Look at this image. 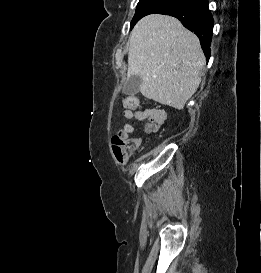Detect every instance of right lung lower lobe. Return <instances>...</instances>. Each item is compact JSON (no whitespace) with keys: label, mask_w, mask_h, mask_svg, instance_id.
I'll return each mask as SVG.
<instances>
[{"label":"right lung lower lobe","mask_w":261,"mask_h":273,"mask_svg":"<svg viewBox=\"0 0 261 273\" xmlns=\"http://www.w3.org/2000/svg\"><path fill=\"white\" fill-rule=\"evenodd\" d=\"M159 14L178 18L200 39L207 60L210 58V44L214 20L208 9V0H167L166 9Z\"/></svg>","instance_id":"obj_1"}]
</instances>
